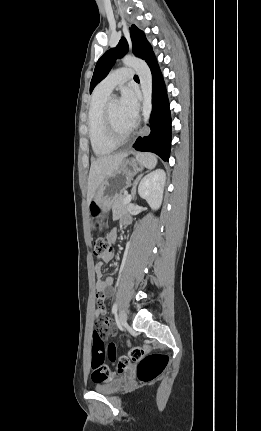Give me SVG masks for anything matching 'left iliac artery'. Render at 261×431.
<instances>
[{"mask_svg":"<svg viewBox=\"0 0 261 431\" xmlns=\"http://www.w3.org/2000/svg\"><path fill=\"white\" fill-rule=\"evenodd\" d=\"M117 312V302H115L114 304H113V307H112V313L114 314V313H116Z\"/></svg>","mask_w":261,"mask_h":431,"instance_id":"1","label":"left iliac artery"}]
</instances>
